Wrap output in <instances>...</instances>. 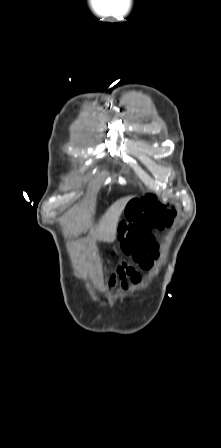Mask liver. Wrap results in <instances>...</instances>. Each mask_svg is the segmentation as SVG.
I'll return each instance as SVG.
<instances>
[{
	"label": "liver",
	"instance_id": "liver-1",
	"mask_svg": "<svg viewBox=\"0 0 221 448\" xmlns=\"http://www.w3.org/2000/svg\"><path fill=\"white\" fill-rule=\"evenodd\" d=\"M130 199L131 197H127L117 201L102 217L95 227L97 238L100 241L111 243L115 240L119 217ZM90 230L92 231L93 227H90Z\"/></svg>",
	"mask_w": 221,
	"mask_h": 448
}]
</instances>
